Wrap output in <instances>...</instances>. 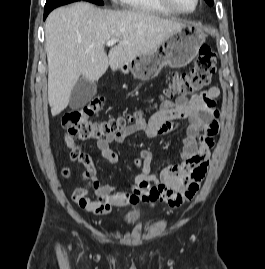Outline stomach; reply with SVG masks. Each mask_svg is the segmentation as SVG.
Masks as SVG:
<instances>
[{"mask_svg": "<svg viewBox=\"0 0 265 269\" xmlns=\"http://www.w3.org/2000/svg\"><path fill=\"white\" fill-rule=\"evenodd\" d=\"M206 34L199 27L186 24L167 36L149 53L139 55L120 68L140 80L155 78L164 66L180 68L188 65L205 42ZM125 68V69H123Z\"/></svg>", "mask_w": 265, "mask_h": 269, "instance_id": "stomach-1", "label": "stomach"}]
</instances>
